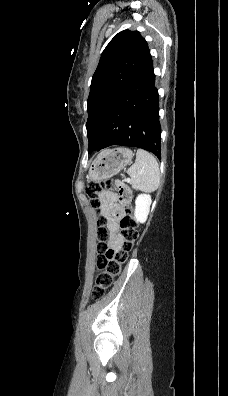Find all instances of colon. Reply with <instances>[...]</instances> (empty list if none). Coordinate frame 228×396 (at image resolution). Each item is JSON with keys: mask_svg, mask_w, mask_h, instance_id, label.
I'll use <instances>...</instances> for the list:
<instances>
[{"mask_svg": "<svg viewBox=\"0 0 228 396\" xmlns=\"http://www.w3.org/2000/svg\"><path fill=\"white\" fill-rule=\"evenodd\" d=\"M117 187L121 197L127 198L130 194L127 186L122 182L89 181L85 187V193L91 205L99 210L100 194L107 188ZM105 218L98 219L97 230V251L98 256L96 266L100 273L96 277L93 289V298L100 299L105 292L113 285L115 278L120 274L122 265L128 260L129 252L139 239V232L136 221L130 216V210L126 209V214L121 220V244L113 248L107 244L109 238L108 229L104 226Z\"/></svg>", "mask_w": 228, "mask_h": 396, "instance_id": "5ec220e1", "label": "colon"}]
</instances>
